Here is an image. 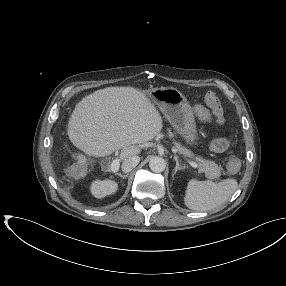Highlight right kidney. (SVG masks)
I'll return each instance as SVG.
<instances>
[{
    "instance_id": "1",
    "label": "right kidney",
    "mask_w": 286,
    "mask_h": 286,
    "mask_svg": "<svg viewBox=\"0 0 286 286\" xmlns=\"http://www.w3.org/2000/svg\"><path fill=\"white\" fill-rule=\"evenodd\" d=\"M118 189V184L115 181L95 180L91 184L92 195L96 198H103L107 195L113 194Z\"/></svg>"
}]
</instances>
